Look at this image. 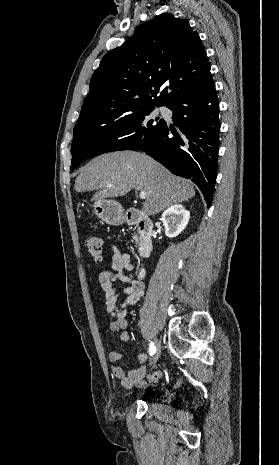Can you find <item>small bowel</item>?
<instances>
[{"label":"small bowel","mask_w":279,"mask_h":465,"mask_svg":"<svg viewBox=\"0 0 279 465\" xmlns=\"http://www.w3.org/2000/svg\"><path fill=\"white\" fill-rule=\"evenodd\" d=\"M111 250V270L102 271L99 274L98 280L104 293L106 312L111 317L109 334L112 336L116 332H120L121 341L128 343L130 342V335L126 331L128 308L134 306L141 299L144 293V284L141 280L134 279L129 274L133 268L129 255L122 253L114 245L111 246ZM118 283H124L126 286L120 288L117 286ZM122 295L125 296V300L118 306V300ZM108 357L112 363L111 370L113 375L120 380L121 385L126 389H131L136 385L144 383L145 378L157 380L163 375L162 371H157L151 376L146 374V362L148 359L146 353H139L136 356V360L140 366L129 370H124L118 365L123 359L120 353L111 351Z\"/></svg>","instance_id":"small-bowel-1"}]
</instances>
